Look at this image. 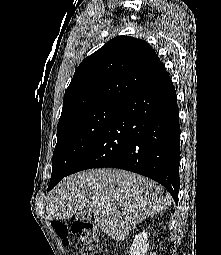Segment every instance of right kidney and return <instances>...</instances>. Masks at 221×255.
<instances>
[{"label":"right kidney","instance_id":"right-kidney-1","mask_svg":"<svg viewBox=\"0 0 221 255\" xmlns=\"http://www.w3.org/2000/svg\"><path fill=\"white\" fill-rule=\"evenodd\" d=\"M148 248H149L148 233L143 231L135 235L129 253L130 255H145Z\"/></svg>","mask_w":221,"mask_h":255}]
</instances>
